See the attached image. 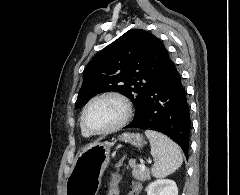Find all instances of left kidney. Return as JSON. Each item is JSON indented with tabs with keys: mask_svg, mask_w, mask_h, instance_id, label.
Segmentation results:
<instances>
[{
	"mask_svg": "<svg viewBox=\"0 0 240 195\" xmlns=\"http://www.w3.org/2000/svg\"><path fill=\"white\" fill-rule=\"evenodd\" d=\"M146 189L148 195H178V187L173 179H156Z\"/></svg>",
	"mask_w": 240,
	"mask_h": 195,
	"instance_id": "5707ae66",
	"label": "left kidney"
}]
</instances>
